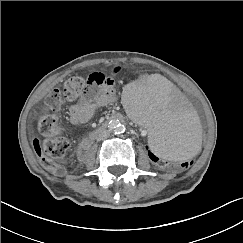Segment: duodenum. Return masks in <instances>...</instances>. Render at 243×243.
<instances>
[{"label":"duodenum","instance_id":"410a0bca","mask_svg":"<svg viewBox=\"0 0 243 243\" xmlns=\"http://www.w3.org/2000/svg\"><path fill=\"white\" fill-rule=\"evenodd\" d=\"M123 119V116L120 115V114H115L111 117L110 120H108L107 122H105L99 129L98 131H102V130H105L109 127V125L111 123H116V122H120L121 120ZM91 140H92V137H87L86 139H84L78 149V154L80 157H84L86 156L89 148H90V145H91Z\"/></svg>","mask_w":243,"mask_h":243}]
</instances>
